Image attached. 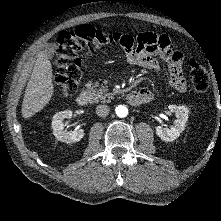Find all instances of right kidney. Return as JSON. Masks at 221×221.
<instances>
[{"instance_id":"ca27d5eb","label":"right kidney","mask_w":221,"mask_h":221,"mask_svg":"<svg viewBox=\"0 0 221 221\" xmlns=\"http://www.w3.org/2000/svg\"><path fill=\"white\" fill-rule=\"evenodd\" d=\"M71 116V110L61 111L53 116L52 128L53 134L57 140H60L65 143H73L80 141L84 137L83 129H75L73 131L64 130L63 121L66 118H71Z\"/></svg>"}]
</instances>
